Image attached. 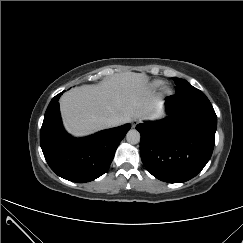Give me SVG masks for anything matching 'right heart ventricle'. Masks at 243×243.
<instances>
[{
  "label": "right heart ventricle",
  "instance_id": "1",
  "mask_svg": "<svg viewBox=\"0 0 243 243\" xmlns=\"http://www.w3.org/2000/svg\"><path fill=\"white\" fill-rule=\"evenodd\" d=\"M162 84H163V81H162V80H160V79H155V80H153V81L151 82V84H150V88L153 89V90H155V89L160 88V87L162 86Z\"/></svg>",
  "mask_w": 243,
  "mask_h": 243
}]
</instances>
